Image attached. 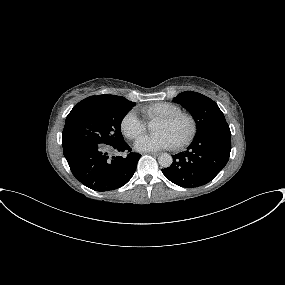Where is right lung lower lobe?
Listing matches in <instances>:
<instances>
[{"label": "right lung lower lobe", "instance_id": "right-lung-lower-lobe-1", "mask_svg": "<svg viewBox=\"0 0 285 285\" xmlns=\"http://www.w3.org/2000/svg\"><path fill=\"white\" fill-rule=\"evenodd\" d=\"M130 152L127 156H108V151ZM63 154L72 174L96 191H110L125 185L133 176L139 153L131 152L125 141L114 145L74 143L63 145Z\"/></svg>", "mask_w": 285, "mask_h": 285}]
</instances>
